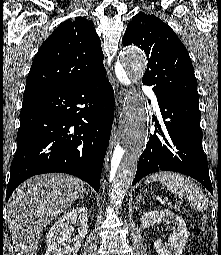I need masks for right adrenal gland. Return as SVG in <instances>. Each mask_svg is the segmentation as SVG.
<instances>
[{
	"instance_id": "right-adrenal-gland-1",
	"label": "right adrenal gland",
	"mask_w": 221,
	"mask_h": 255,
	"mask_svg": "<svg viewBox=\"0 0 221 255\" xmlns=\"http://www.w3.org/2000/svg\"><path fill=\"white\" fill-rule=\"evenodd\" d=\"M84 194H86V196L89 195V193L86 191V189H84V192H83V194L80 196V199H83V198H84Z\"/></svg>"
}]
</instances>
